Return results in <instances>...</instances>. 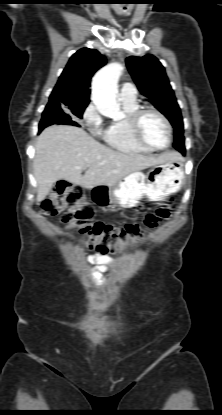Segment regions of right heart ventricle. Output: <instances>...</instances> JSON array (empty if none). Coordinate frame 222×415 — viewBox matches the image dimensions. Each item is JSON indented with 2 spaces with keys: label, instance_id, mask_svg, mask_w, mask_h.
I'll list each match as a JSON object with an SVG mask.
<instances>
[{
  "label": "right heart ventricle",
  "instance_id": "e07e8e85",
  "mask_svg": "<svg viewBox=\"0 0 222 415\" xmlns=\"http://www.w3.org/2000/svg\"><path fill=\"white\" fill-rule=\"evenodd\" d=\"M125 117L121 120H115L102 133L103 140L112 148L126 153L149 154L152 152L142 146L134 137L130 124L129 116L138 108L136 100H121Z\"/></svg>",
  "mask_w": 222,
  "mask_h": 415
}]
</instances>
